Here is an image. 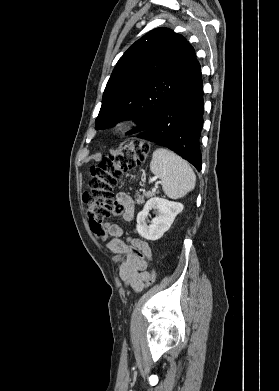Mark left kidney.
<instances>
[{"mask_svg": "<svg viewBox=\"0 0 279 391\" xmlns=\"http://www.w3.org/2000/svg\"><path fill=\"white\" fill-rule=\"evenodd\" d=\"M183 204L167 199L154 197L149 199L137 215L136 229L139 235L147 240H158L169 230L175 217L183 210ZM157 210L151 224H146L150 210Z\"/></svg>", "mask_w": 279, "mask_h": 391, "instance_id": "obj_1", "label": "left kidney"}]
</instances>
